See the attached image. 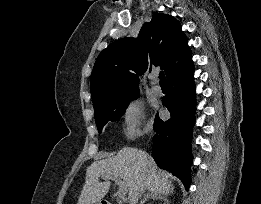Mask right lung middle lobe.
I'll list each match as a JSON object with an SVG mask.
<instances>
[{
	"mask_svg": "<svg viewBox=\"0 0 261 204\" xmlns=\"http://www.w3.org/2000/svg\"><path fill=\"white\" fill-rule=\"evenodd\" d=\"M139 95V91L128 93L116 101L107 104H100L94 106L95 121L97 124L98 131H102V127L108 121H117L124 114L130 101Z\"/></svg>",
	"mask_w": 261,
	"mask_h": 204,
	"instance_id": "1",
	"label": "right lung middle lobe"
}]
</instances>
